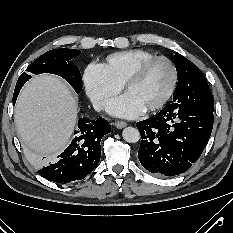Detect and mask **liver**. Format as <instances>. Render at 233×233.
Masks as SVG:
<instances>
[{"mask_svg":"<svg viewBox=\"0 0 233 233\" xmlns=\"http://www.w3.org/2000/svg\"><path fill=\"white\" fill-rule=\"evenodd\" d=\"M78 106L70 87L56 76L34 77L22 89L14 120L21 140L41 157L58 154L68 144L77 122Z\"/></svg>","mask_w":233,"mask_h":233,"instance_id":"1","label":"liver"}]
</instances>
